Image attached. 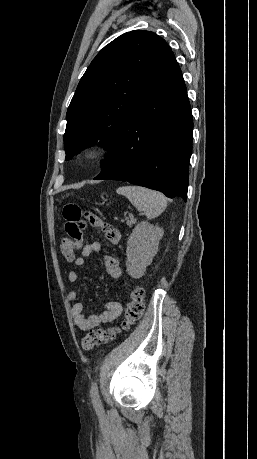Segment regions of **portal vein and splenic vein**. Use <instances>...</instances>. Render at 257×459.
Returning a JSON list of instances; mask_svg holds the SVG:
<instances>
[{"label":"portal vein and splenic vein","mask_w":257,"mask_h":459,"mask_svg":"<svg viewBox=\"0 0 257 459\" xmlns=\"http://www.w3.org/2000/svg\"><path fill=\"white\" fill-rule=\"evenodd\" d=\"M133 222H134L133 220H130V221L128 220V221H127V224L130 225V224H132Z\"/></svg>","instance_id":"portal-vein-and-splenic-vein-1"}]
</instances>
